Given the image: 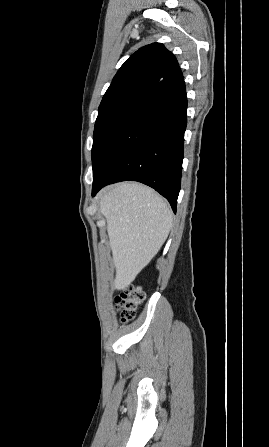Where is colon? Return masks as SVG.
<instances>
[{"label":"colon","mask_w":269,"mask_h":447,"mask_svg":"<svg viewBox=\"0 0 269 447\" xmlns=\"http://www.w3.org/2000/svg\"><path fill=\"white\" fill-rule=\"evenodd\" d=\"M144 292L140 287H128L115 298L114 305L124 322L131 321L140 309Z\"/></svg>","instance_id":"5ec220e1"}]
</instances>
